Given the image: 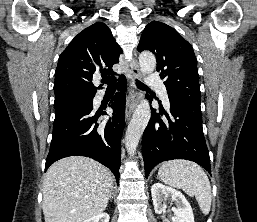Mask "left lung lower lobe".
<instances>
[{
  "mask_svg": "<svg viewBox=\"0 0 257 222\" xmlns=\"http://www.w3.org/2000/svg\"><path fill=\"white\" fill-rule=\"evenodd\" d=\"M170 116L160 118L152 110L151 119L143 133L142 154L145 177L159 163L172 159H186L198 163L211 172L210 157L206 146L200 103L168 94ZM160 114L163 111H159Z\"/></svg>",
  "mask_w": 257,
  "mask_h": 222,
  "instance_id": "left-lung-lower-lobe-1",
  "label": "left lung lower lobe"
}]
</instances>
